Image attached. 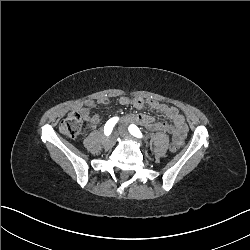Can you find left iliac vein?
Masks as SVG:
<instances>
[{
  "instance_id": "4c4485c4",
  "label": "left iliac vein",
  "mask_w": 250,
  "mask_h": 250,
  "mask_svg": "<svg viewBox=\"0 0 250 250\" xmlns=\"http://www.w3.org/2000/svg\"><path fill=\"white\" fill-rule=\"evenodd\" d=\"M119 134H120L122 137L131 139V140H135V138L127 131V129H125V128H123V127L120 128Z\"/></svg>"
}]
</instances>
